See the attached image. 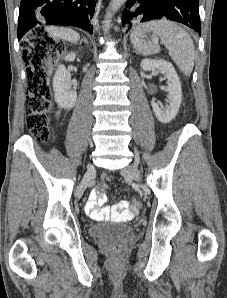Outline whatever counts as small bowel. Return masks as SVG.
<instances>
[{"label":"small bowel","mask_w":227,"mask_h":298,"mask_svg":"<svg viewBox=\"0 0 227 298\" xmlns=\"http://www.w3.org/2000/svg\"><path fill=\"white\" fill-rule=\"evenodd\" d=\"M105 180H107V178H105ZM106 202L107 196L105 191H98V189L92 190L89 195V200L85 205V211L95 220L108 218L127 219L132 213L125 203L114 206H105ZM99 207L102 208L99 209Z\"/></svg>","instance_id":"obj_1"}]
</instances>
